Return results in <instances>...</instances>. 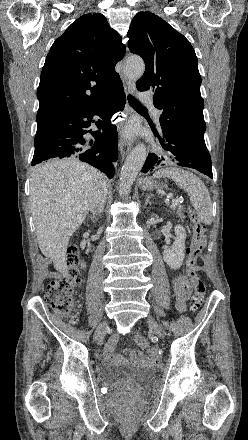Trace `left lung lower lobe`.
<instances>
[{
    "label": "left lung lower lobe",
    "instance_id": "left-lung-lower-lobe-1",
    "mask_svg": "<svg viewBox=\"0 0 248 440\" xmlns=\"http://www.w3.org/2000/svg\"><path fill=\"white\" fill-rule=\"evenodd\" d=\"M162 137H159L165 154L156 156L150 154L142 168L146 173L158 165L175 162L180 166L197 169L201 173L213 178L211 158L204 138L194 137L185 131L168 125H161Z\"/></svg>",
    "mask_w": 248,
    "mask_h": 440
}]
</instances>
